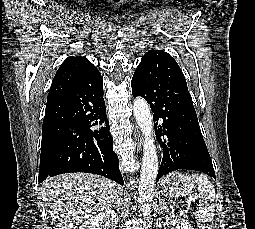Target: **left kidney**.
<instances>
[{"instance_id": "obj_1", "label": "left kidney", "mask_w": 255, "mask_h": 229, "mask_svg": "<svg viewBox=\"0 0 255 229\" xmlns=\"http://www.w3.org/2000/svg\"><path fill=\"white\" fill-rule=\"evenodd\" d=\"M172 224V229H193V227L182 219H174L173 217L170 219Z\"/></svg>"}]
</instances>
